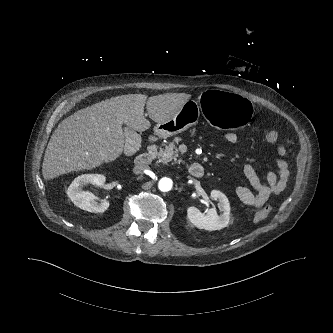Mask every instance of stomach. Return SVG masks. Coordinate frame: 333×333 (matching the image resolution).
Returning a JSON list of instances; mask_svg holds the SVG:
<instances>
[{"label": "stomach", "mask_w": 333, "mask_h": 333, "mask_svg": "<svg viewBox=\"0 0 333 333\" xmlns=\"http://www.w3.org/2000/svg\"><path fill=\"white\" fill-rule=\"evenodd\" d=\"M199 109L210 123L222 128L243 127L252 116V107L246 98L240 95H229L220 88L205 91L200 97ZM197 115V104L188 100L177 114L158 123L154 127V133L161 138L181 133L192 125Z\"/></svg>", "instance_id": "stomach-1"}]
</instances>
